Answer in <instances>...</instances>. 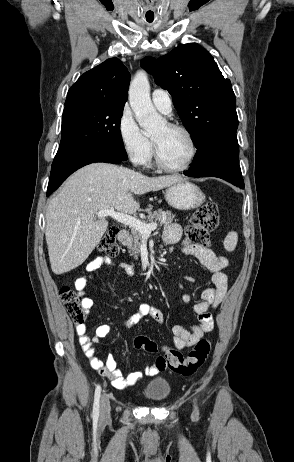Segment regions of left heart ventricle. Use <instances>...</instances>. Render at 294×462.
<instances>
[{"mask_svg": "<svg viewBox=\"0 0 294 462\" xmlns=\"http://www.w3.org/2000/svg\"><path fill=\"white\" fill-rule=\"evenodd\" d=\"M158 143L163 162L170 166H181L189 158L191 145L187 136L179 131L170 129L166 123L162 124L152 134Z\"/></svg>", "mask_w": 294, "mask_h": 462, "instance_id": "left-heart-ventricle-1", "label": "left heart ventricle"}]
</instances>
